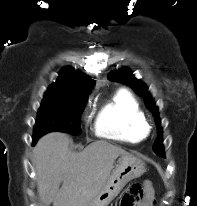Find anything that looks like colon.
<instances>
[{
  "label": "colon",
  "instance_id": "obj_1",
  "mask_svg": "<svg viewBox=\"0 0 197 206\" xmlns=\"http://www.w3.org/2000/svg\"><path fill=\"white\" fill-rule=\"evenodd\" d=\"M151 188L141 187L140 185L132 186L124 195L121 206H133L135 203H139L144 197H151L148 195Z\"/></svg>",
  "mask_w": 197,
  "mask_h": 206
}]
</instances>
